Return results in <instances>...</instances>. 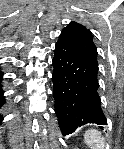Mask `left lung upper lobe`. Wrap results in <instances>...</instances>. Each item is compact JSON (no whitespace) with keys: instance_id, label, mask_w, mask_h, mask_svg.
<instances>
[{"instance_id":"1","label":"left lung upper lobe","mask_w":124,"mask_h":149,"mask_svg":"<svg viewBox=\"0 0 124 149\" xmlns=\"http://www.w3.org/2000/svg\"><path fill=\"white\" fill-rule=\"evenodd\" d=\"M61 36H63L71 45L82 51L90 60L97 63V49L93 42V36L90 30L86 29L85 26L70 22L65 27Z\"/></svg>"}]
</instances>
